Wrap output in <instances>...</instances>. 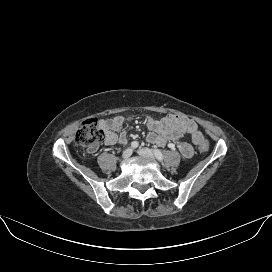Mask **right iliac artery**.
<instances>
[{"mask_svg": "<svg viewBox=\"0 0 272 272\" xmlns=\"http://www.w3.org/2000/svg\"><path fill=\"white\" fill-rule=\"evenodd\" d=\"M138 146H139V143H138L137 141H133V142L131 143V147H132L133 149H136Z\"/></svg>", "mask_w": 272, "mask_h": 272, "instance_id": "82829eb1", "label": "right iliac artery"}]
</instances>
